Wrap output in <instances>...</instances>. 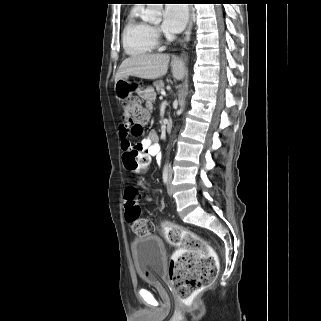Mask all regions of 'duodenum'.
I'll list each match as a JSON object with an SVG mask.
<instances>
[{"instance_id":"1","label":"duodenum","mask_w":321,"mask_h":321,"mask_svg":"<svg viewBox=\"0 0 321 321\" xmlns=\"http://www.w3.org/2000/svg\"><path fill=\"white\" fill-rule=\"evenodd\" d=\"M165 129L168 133H170L173 129V122L168 119L166 122H165Z\"/></svg>"}]
</instances>
